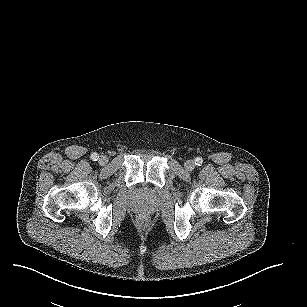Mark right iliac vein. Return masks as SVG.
<instances>
[{
    "instance_id": "63e3f726",
    "label": "right iliac vein",
    "mask_w": 307,
    "mask_h": 307,
    "mask_svg": "<svg viewBox=\"0 0 307 307\" xmlns=\"http://www.w3.org/2000/svg\"><path fill=\"white\" fill-rule=\"evenodd\" d=\"M98 163H99L100 166L106 165L108 163V157L105 156V155H101L99 157Z\"/></svg>"
}]
</instances>
